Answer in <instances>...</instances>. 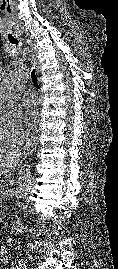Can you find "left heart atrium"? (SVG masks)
Listing matches in <instances>:
<instances>
[{"label": "left heart atrium", "instance_id": "39dd6f15", "mask_svg": "<svg viewBox=\"0 0 118 269\" xmlns=\"http://www.w3.org/2000/svg\"><path fill=\"white\" fill-rule=\"evenodd\" d=\"M41 122V116L37 107L30 108L26 113V123L32 129L36 130Z\"/></svg>", "mask_w": 118, "mask_h": 269}]
</instances>
